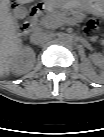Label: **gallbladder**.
<instances>
[{
    "mask_svg": "<svg viewBox=\"0 0 104 137\" xmlns=\"http://www.w3.org/2000/svg\"><path fill=\"white\" fill-rule=\"evenodd\" d=\"M26 14H27V8L24 6H19L16 9L11 11V15L15 19H22L26 16Z\"/></svg>",
    "mask_w": 104,
    "mask_h": 137,
    "instance_id": "bac80fb5",
    "label": "gallbladder"
}]
</instances>
